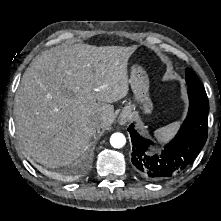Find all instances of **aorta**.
Segmentation results:
<instances>
[{"label": "aorta", "instance_id": "762f6f07", "mask_svg": "<svg viewBox=\"0 0 221 221\" xmlns=\"http://www.w3.org/2000/svg\"><path fill=\"white\" fill-rule=\"evenodd\" d=\"M126 143V138L124 136V134L116 132L113 133L110 137V144L112 147L114 148H122Z\"/></svg>", "mask_w": 221, "mask_h": 221}]
</instances>
